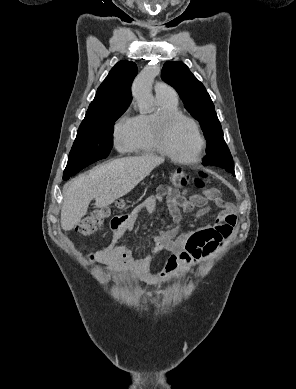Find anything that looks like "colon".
Instances as JSON below:
<instances>
[{
    "label": "colon",
    "mask_w": 296,
    "mask_h": 389,
    "mask_svg": "<svg viewBox=\"0 0 296 389\" xmlns=\"http://www.w3.org/2000/svg\"><path fill=\"white\" fill-rule=\"evenodd\" d=\"M206 175L201 173L197 179H195V185L200 189L206 188ZM172 183L176 187H185L191 181L189 172L186 169H178L172 173L171 176ZM119 207L123 206V203L120 202L117 204ZM121 217H113L111 221H119ZM111 218V209L102 208L97 209L91 212L89 215L85 216L80 220L76 226V231L83 236H91L94 234L102 225ZM131 263V262H130Z\"/></svg>",
    "instance_id": "colon-1"
}]
</instances>
